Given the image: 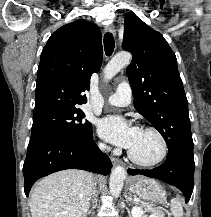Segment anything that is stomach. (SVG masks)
Masks as SVG:
<instances>
[{
  "label": "stomach",
  "mask_w": 211,
  "mask_h": 217,
  "mask_svg": "<svg viewBox=\"0 0 211 217\" xmlns=\"http://www.w3.org/2000/svg\"><path fill=\"white\" fill-rule=\"evenodd\" d=\"M130 190L139 197L155 203H164L166 192L155 179L137 176L132 178Z\"/></svg>",
  "instance_id": "stomach-1"
}]
</instances>
